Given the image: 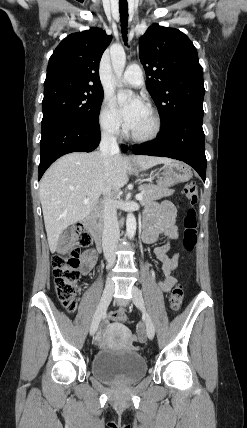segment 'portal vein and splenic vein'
<instances>
[{
    "label": "portal vein and splenic vein",
    "mask_w": 247,
    "mask_h": 428,
    "mask_svg": "<svg viewBox=\"0 0 247 428\" xmlns=\"http://www.w3.org/2000/svg\"><path fill=\"white\" fill-rule=\"evenodd\" d=\"M142 199H143V194L142 193L136 195V200L140 201ZM83 203L84 204L89 203V199L88 198L84 199Z\"/></svg>",
    "instance_id": "obj_1"
}]
</instances>
